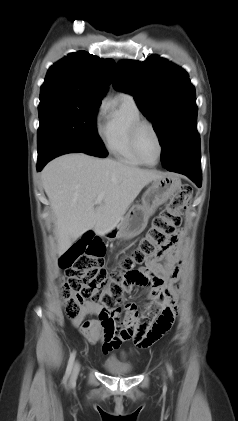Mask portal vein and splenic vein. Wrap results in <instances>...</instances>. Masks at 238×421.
Segmentation results:
<instances>
[{"label":"portal vein and splenic vein","instance_id":"18ae733b","mask_svg":"<svg viewBox=\"0 0 238 421\" xmlns=\"http://www.w3.org/2000/svg\"><path fill=\"white\" fill-rule=\"evenodd\" d=\"M103 196H104L103 194H99L97 199H96V203H101L102 200H103Z\"/></svg>","mask_w":238,"mask_h":421}]
</instances>
